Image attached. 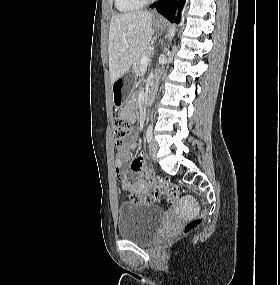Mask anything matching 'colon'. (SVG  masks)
<instances>
[{"label":"colon","mask_w":280,"mask_h":285,"mask_svg":"<svg viewBox=\"0 0 280 285\" xmlns=\"http://www.w3.org/2000/svg\"><path fill=\"white\" fill-rule=\"evenodd\" d=\"M129 130H130L129 124L125 120H123L120 117H115L113 119L112 138H113L114 146L121 147L124 144L125 139L127 138L129 134ZM145 175L148 178V180L151 181L157 189H159L160 191L166 194L167 202L169 204H173L176 201V199L178 198V189L173 183L163 178L155 176L153 171L149 169L145 172ZM129 199L133 203H140L143 201L152 200V198L149 196H143L137 193L131 194L129 196ZM200 201H201V204L204 207H206V201L203 198H201ZM204 219H205V211H202L199 215L192 218L186 223V225L184 226L183 232L185 234H189L193 232L194 230H196L198 227L202 225V223L204 222Z\"/></svg>","instance_id":"1"}]
</instances>
